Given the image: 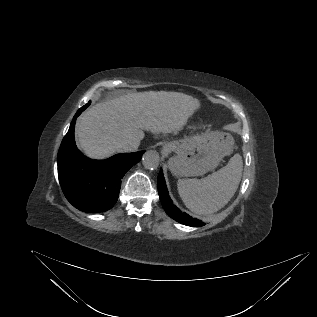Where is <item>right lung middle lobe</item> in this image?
<instances>
[{
    "instance_id": "1",
    "label": "right lung middle lobe",
    "mask_w": 317,
    "mask_h": 317,
    "mask_svg": "<svg viewBox=\"0 0 317 317\" xmlns=\"http://www.w3.org/2000/svg\"><path fill=\"white\" fill-rule=\"evenodd\" d=\"M90 105V101L86 104V107H88Z\"/></svg>"
}]
</instances>
